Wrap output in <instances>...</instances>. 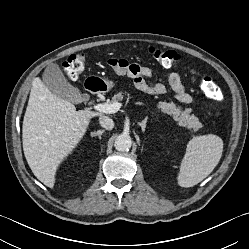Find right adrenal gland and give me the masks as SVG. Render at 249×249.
<instances>
[{
    "mask_svg": "<svg viewBox=\"0 0 249 249\" xmlns=\"http://www.w3.org/2000/svg\"><path fill=\"white\" fill-rule=\"evenodd\" d=\"M104 132H105L104 130H98V131H96V132H92L91 135H92V137L98 136V138L101 140V135H102Z\"/></svg>",
    "mask_w": 249,
    "mask_h": 249,
    "instance_id": "right-adrenal-gland-1",
    "label": "right adrenal gland"
}]
</instances>
